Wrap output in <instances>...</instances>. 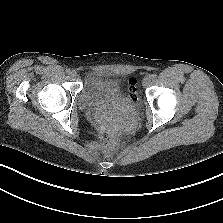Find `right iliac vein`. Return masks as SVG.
<instances>
[{
  "label": "right iliac vein",
  "mask_w": 223,
  "mask_h": 223,
  "mask_svg": "<svg viewBox=\"0 0 223 223\" xmlns=\"http://www.w3.org/2000/svg\"><path fill=\"white\" fill-rule=\"evenodd\" d=\"M70 76L73 77V78L76 77L77 72L75 70L71 71Z\"/></svg>",
  "instance_id": "1"
}]
</instances>
